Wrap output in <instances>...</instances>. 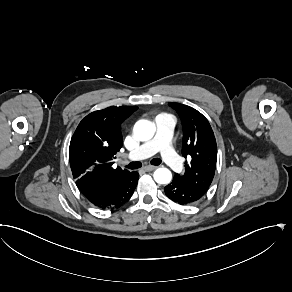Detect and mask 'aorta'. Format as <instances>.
<instances>
[{"label":"aorta","instance_id":"1","mask_svg":"<svg viewBox=\"0 0 292 292\" xmlns=\"http://www.w3.org/2000/svg\"><path fill=\"white\" fill-rule=\"evenodd\" d=\"M155 126L148 120H139L134 125V135L140 141H147L154 136ZM154 180L159 184H168L172 179L171 171L167 168H158L154 172Z\"/></svg>","mask_w":292,"mask_h":292}]
</instances>
